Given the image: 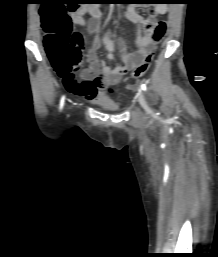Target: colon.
<instances>
[{
  "instance_id": "5ec220e1",
  "label": "colon",
  "mask_w": 218,
  "mask_h": 257,
  "mask_svg": "<svg viewBox=\"0 0 218 257\" xmlns=\"http://www.w3.org/2000/svg\"><path fill=\"white\" fill-rule=\"evenodd\" d=\"M143 9L150 10L151 6L144 5ZM66 10L71 13L75 12L78 10V5H45L41 11V17L45 32L44 46L49 59L55 71L64 79L70 80L83 64L84 55L82 35L72 30L71 18ZM147 27L154 29L155 39L159 41L162 26L151 19L147 22ZM151 59L152 53L133 69L129 78V86H133L134 81L146 73ZM106 94H121V89H117V86H108Z\"/></svg>"
}]
</instances>
